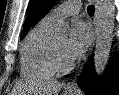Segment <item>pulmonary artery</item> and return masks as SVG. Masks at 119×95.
Wrapping results in <instances>:
<instances>
[{
  "label": "pulmonary artery",
  "mask_w": 119,
  "mask_h": 95,
  "mask_svg": "<svg viewBox=\"0 0 119 95\" xmlns=\"http://www.w3.org/2000/svg\"><path fill=\"white\" fill-rule=\"evenodd\" d=\"M81 9L80 1L70 0L62 3L47 14V17L53 21L64 19L68 16L79 13Z\"/></svg>",
  "instance_id": "pulmonary-artery-1"
}]
</instances>
